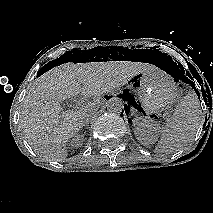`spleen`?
I'll return each instance as SVG.
<instances>
[{
	"label": "spleen",
	"mask_w": 213,
	"mask_h": 213,
	"mask_svg": "<svg viewBox=\"0 0 213 213\" xmlns=\"http://www.w3.org/2000/svg\"><path fill=\"white\" fill-rule=\"evenodd\" d=\"M201 107L197 94L189 91L176 106L172 118L163 127L157 152L177 151L194 139L202 123Z\"/></svg>",
	"instance_id": "1"
}]
</instances>
